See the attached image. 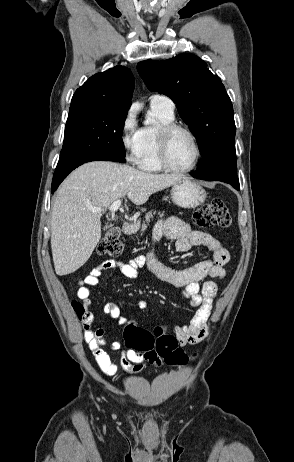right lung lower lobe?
<instances>
[{
    "instance_id": "1",
    "label": "right lung lower lobe",
    "mask_w": 294,
    "mask_h": 462,
    "mask_svg": "<svg viewBox=\"0 0 294 462\" xmlns=\"http://www.w3.org/2000/svg\"><path fill=\"white\" fill-rule=\"evenodd\" d=\"M124 157L125 156L112 154V155H106V156L88 157V158L79 159V160L57 165L55 172H54L53 180H52V191L51 192L53 193L58 188L60 183L67 177V175L71 171H73L75 168H77L78 166L86 162L95 161V160H104V161H115V162L123 163L126 161Z\"/></svg>"
}]
</instances>
